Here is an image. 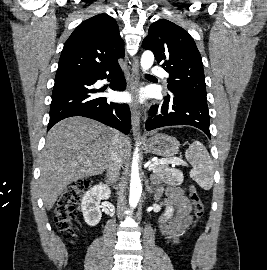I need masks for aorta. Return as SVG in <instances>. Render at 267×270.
Returning a JSON list of instances; mask_svg holds the SVG:
<instances>
[{
  "instance_id": "obj_1",
  "label": "aorta",
  "mask_w": 267,
  "mask_h": 270,
  "mask_svg": "<svg viewBox=\"0 0 267 270\" xmlns=\"http://www.w3.org/2000/svg\"><path fill=\"white\" fill-rule=\"evenodd\" d=\"M154 62V55L151 51H145L141 57V68L143 71L149 70ZM139 150L138 147L135 148L132 166H131V181H130V195H129V204L130 207L135 208L138 205V202L142 193V185L139 175Z\"/></svg>"
}]
</instances>
